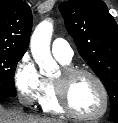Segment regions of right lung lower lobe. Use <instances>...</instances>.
Returning <instances> with one entry per match:
<instances>
[{
    "instance_id": "98d812e1",
    "label": "right lung lower lobe",
    "mask_w": 118,
    "mask_h": 123,
    "mask_svg": "<svg viewBox=\"0 0 118 123\" xmlns=\"http://www.w3.org/2000/svg\"><path fill=\"white\" fill-rule=\"evenodd\" d=\"M9 97H11V96L0 94V99H5V98H9Z\"/></svg>"
}]
</instances>
